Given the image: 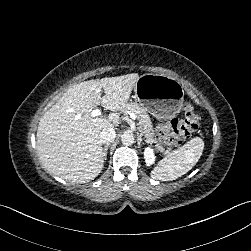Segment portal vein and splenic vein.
I'll return each instance as SVG.
<instances>
[{
	"label": "portal vein and splenic vein",
	"instance_id": "1",
	"mask_svg": "<svg viewBox=\"0 0 251 251\" xmlns=\"http://www.w3.org/2000/svg\"><path fill=\"white\" fill-rule=\"evenodd\" d=\"M128 114H129V116H130L131 119H133V120L136 119V115L134 113L128 111ZM91 115L93 117L100 116L101 115V111L99 109H94V110H92Z\"/></svg>",
	"mask_w": 251,
	"mask_h": 251
}]
</instances>
